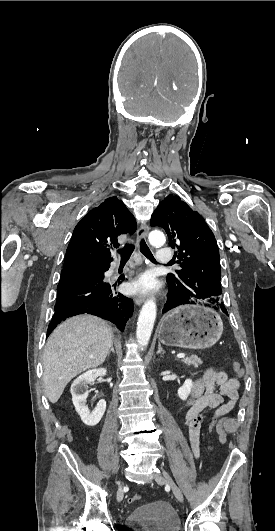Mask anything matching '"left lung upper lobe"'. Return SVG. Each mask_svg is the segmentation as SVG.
<instances>
[{"label":"left lung upper lobe","mask_w":275,"mask_h":531,"mask_svg":"<svg viewBox=\"0 0 275 531\" xmlns=\"http://www.w3.org/2000/svg\"><path fill=\"white\" fill-rule=\"evenodd\" d=\"M150 224L165 229L182 268L167 276L171 301L176 305L204 304L225 311L220 299L219 250L204 218L177 195L169 194L152 214Z\"/></svg>","instance_id":"5c2ea615"}]
</instances>
